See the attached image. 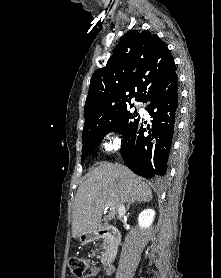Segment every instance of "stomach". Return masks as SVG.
Masks as SVG:
<instances>
[{
  "label": "stomach",
  "instance_id": "stomach-1",
  "mask_svg": "<svg viewBox=\"0 0 221 278\" xmlns=\"http://www.w3.org/2000/svg\"><path fill=\"white\" fill-rule=\"evenodd\" d=\"M80 239H81V241H82V240H83V241H85V240H86L85 238H83V239H82V236H80Z\"/></svg>",
  "mask_w": 221,
  "mask_h": 278
}]
</instances>
